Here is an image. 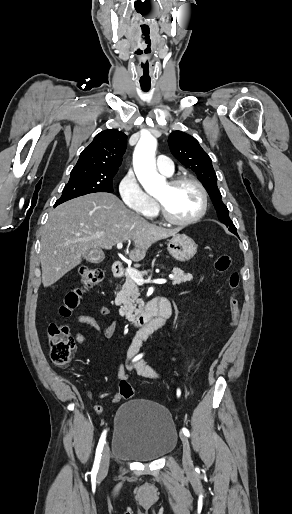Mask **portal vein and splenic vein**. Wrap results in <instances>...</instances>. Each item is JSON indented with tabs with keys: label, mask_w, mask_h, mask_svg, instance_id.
<instances>
[{
	"label": "portal vein and splenic vein",
	"mask_w": 292,
	"mask_h": 514,
	"mask_svg": "<svg viewBox=\"0 0 292 514\" xmlns=\"http://www.w3.org/2000/svg\"><path fill=\"white\" fill-rule=\"evenodd\" d=\"M118 250H121L123 248V244H117ZM127 276H130L134 282H137L139 286H142V284H145V282H152V284H166V280H143L140 272H137V270H134V268H127L126 270Z\"/></svg>",
	"instance_id": "1"
}]
</instances>
